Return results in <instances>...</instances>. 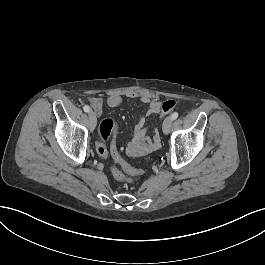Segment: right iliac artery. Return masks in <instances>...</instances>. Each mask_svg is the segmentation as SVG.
Here are the masks:
<instances>
[{
    "instance_id": "obj_1",
    "label": "right iliac artery",
    "mask_w": 265,
    "mask_h": 265,
    "mask_svg": "<svg viewBox=\"0 0 265 265\" xmlns=\"http://www.w3.org/2000/svg\"><path fill=\"white\" fill-rule=\"evenodd\" d=\"M83 109H84V111L85 112H90V107L88 106V105H85L84 107H83Z\"/></svg>"
}]
</instances>
